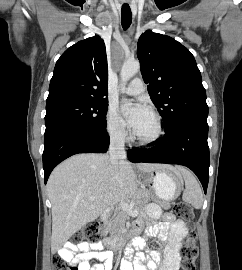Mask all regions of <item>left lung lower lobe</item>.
<instances>
[{
  "instance_id": "0a47b994",
  "label": "left lung lower lobe",
  "mask_w": 242,
  "mask_h": 270,
  "mask_svg": "<svg viewBox=\"0 0 242 270\" xmlns=\"http://www.w3.org/2000/svg\"><path fill=\"white\" fill-rule=\"evenodd\" d=\"M207 138V119H187L165 131V136L154 142L156 146L149 149H130L128 158L133 163L184 165L197 175L206 193L210 164Z\"/></svg>"
}]
</instances>
